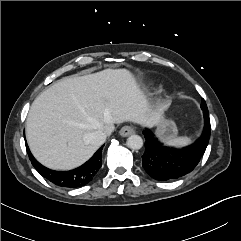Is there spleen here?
<instances>
[{
  "mask_svg": "<svg viewBox=\"0 0 241 241\" xmlns=\"http://www.w3.org/2000/svg\"><path fill=\"white\" fill-rule=\"evenodd\" d=\"M189 142H190V138L188 137H177V138H172L170 140L165 141V144L173 147H183L188 145Z\"/></svg>",
  "mask_w": 241,
  "mask_h": 241,
  "instance_id": "obj_1",
  "label": "spleen"
}]
</instances>
